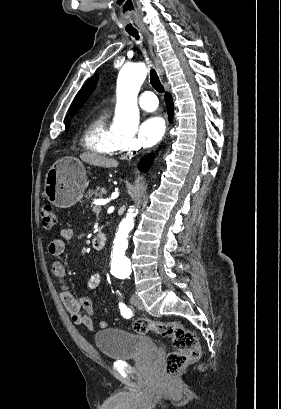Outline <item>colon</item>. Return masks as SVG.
I'll list each match as a JSON object with an SVG mask.
<instances>
[{
  "label": "colon",
  "mask_w": 281,
  "mask_h": 409,
  "mask_svg": "<svg viewBox=\"0 0 281 409\" xmlns=\"http://www.w3.org/2000/svg\"><path fill=\"white\" fill-rule=\"evenodd\" d=\"M41 217L44 228L51 229L57 225V213L52 205L44 204L41 206ZM133 328L137 332H152L172 339L175 351L168 353L165 358L166 373H176L184 369L200 355L195 334L180 324L138 318L134 321Z\"/></svg>",
  "instance_id": "obj_1"
}]
</instances>
